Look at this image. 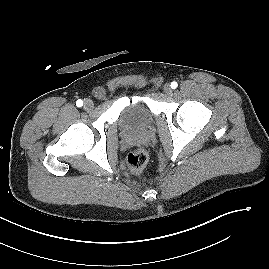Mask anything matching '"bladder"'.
Listing matches in <instances>:
<instances>
[{
  "instance_id": "31cf9c89",
  "label": "bladder",
  "mask_w": 269,
  "mask_h": 269,
  "mask_svg": "<svg viewBox=\"0 0 269 269\" xmlns=\"http://www.w3.org/2000/svg\"><path fill=\"white\" fill-rule=\"evenodd\" d=\"M154 122L151 112L144 96L131 100L121 111L119 125L121 129L131 133H143L148 131Z\"/></svg>"
}]
</instances>
